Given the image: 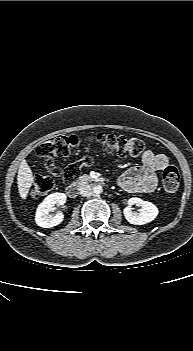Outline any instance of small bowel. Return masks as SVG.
<instances>
[{
  "label": "small bowel",
  "instance_id": "obj_1",
  "mask_svg": "<svg viewBox=\"0 0 193 351\" xmlns=\"http://www.w3.org/2000/svg\"><path fill=\"white\" fill-rule=\"evenodd\" d=\"M168 164L163 154L147 150L141 157V165L126 170L119 179L120 187L128 193L153 195L158 185L157 172Z\"/></svg>",
  "mask_w": 193,
  "mask_h": 351
}]
</instances>
